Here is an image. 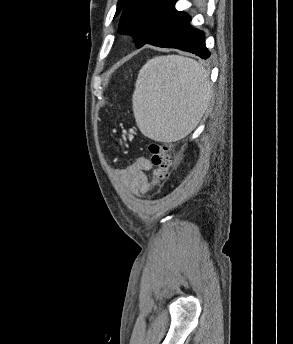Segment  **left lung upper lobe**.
<instances>
[{"label":"left lung upper lobe","instance_id":"obj_1","mask_svg":"<svg viewBox=\"0 0 293 344\" xmlns=\"http://www.w3.org/2000/svg\"><path fill=\"white\" fill-rule=\"evenodd\" d=\"M176 1L119 0L114 16L122 14L119 33L132 35L138 48L166 41L187 16V13L175 9Z\"/></svg>","mask_w":293,"mask_h":344}]
</instances>
